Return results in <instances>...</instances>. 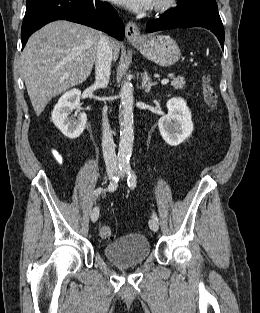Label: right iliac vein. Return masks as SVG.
Listing matches in <instances>:
<instances>
[{
    "label": "right iliac vein",
    "instance_id": "obj_1",
    "mask_svg": "<svg viewBox=\"0 0 260 313\" xmlns=\"http://www.w3.org/2000/svg\"><path fill=\"white\" fill-rule=\"evenodd\" d=\"M114 173H115V169L114 168H108L107 169V176H108L109 179H111L113 177ZM98 217H99V207L95 206L92 209V211H91V220L93 222H96Z\"/></svg>",
    "mask_w": 260,
    "mask_h": 313
}]
</instances>
